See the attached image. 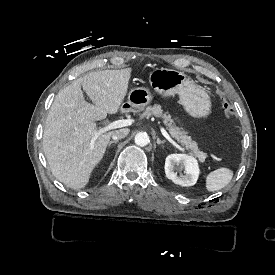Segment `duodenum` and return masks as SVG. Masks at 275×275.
I'll return each mask as SVG.
<instances>
[{"label":"duodenum","mask_w":275,"mask_h":275,"mask_svg":"<svg viewBox=\"0 0 275 275\" xmlns=\"http://www.w3.org/2000/svg\"><path fill=\"white\" fill-rule=\"evenodd\" d=\"M128 109H130V106H129V105H123V106L120 108L119 112H120L121 114H124V113L127 112Z\"/></svg>","instance_id":"1"}]
</instances>
